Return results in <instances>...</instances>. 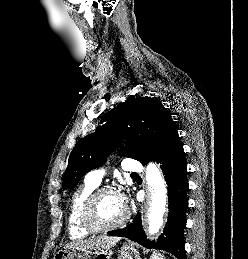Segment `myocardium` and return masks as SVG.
Here are the masks:
<instances>
[{"instance_id":"obj_1","label":"myocardium","mask_w":248,"mask_h":259,"mask_svg":"<svg viewBox=\"0 0 248 259\" xmlns=\"http://www.w3.org/2000/svg\"><path fill=\"white\" fill-rule=\"evenodd\" d=\"M107 192H113L118 194L117 189L112 186L98 187L88 195V197L82 205L80 219L83 226L91 232H104L120 228L124 226L129 219V210L125 208V214L117 222L110 224H103L99 222L96 216V205L100 196Z\"/></svg>"}]
</instances>
